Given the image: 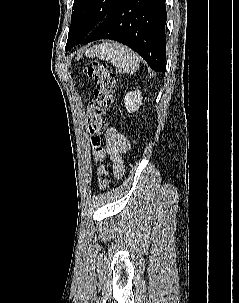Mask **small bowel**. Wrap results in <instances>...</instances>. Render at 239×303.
I'll use <instances>...</instances> for the list:
<instances>
[{
  "label": "small bowel",
  "mask_w": 239,
  "mask_h": 303,
  "mask_svg": "<svg viewBox=\"0 0 239 303\" xmlns=\"http://www.w3.org/2000/svg\"><path fill=\"white\" fill-rule=\"evenodd\" d=\"M130 150L128 139L114 128L108 129L105 137V152L110 157L114 175L121 177L123 174L122 155Z\"/></svg>",
  "instance_id": "1"
}]
</instances>
